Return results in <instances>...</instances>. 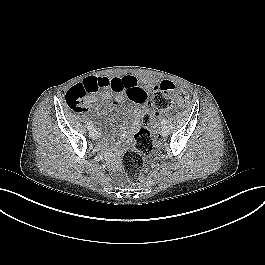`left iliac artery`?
<instances>
[{
  "label": "left iliac artery",
  "instance_id": "obj_1",
  "mask_svg": "<svg viewBox=\"0 0 265 265\" xmlns=\"http://www.w3.org/2000/svg\"><path fill=\"white\" fill-rule=\"evenodd\" d=\"M161 123H162V125H166L167 124V119H162V121H161Z\"/></svg>",
  "mask_w": 265,
  "mask_h": 265
}]
</instances>
